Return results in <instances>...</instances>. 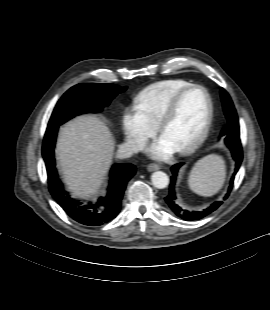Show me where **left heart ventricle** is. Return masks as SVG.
Instances as JSON below:
<instances>
[{"mask_svg":"<svg viewBox=\"0 0 270 310\" xmlns=\"http://www.w3.org/2000/svg\"><path fill=\"white\" fill-rule=\"evenodd\" d=\"M207 106V99L202 91L188 93L163 129L161 136L177 150L185 147L201 132L207 115Z\"/></svg>","mask_w":270,"mask_h":310,"instance_id":"b2bd125f","label":"left heart ventricle"}]
</instances>
